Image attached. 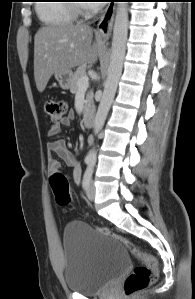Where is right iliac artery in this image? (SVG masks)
Masks as SVG:
<instances>
[{
    "label": "right iliac artery",
    "mask_w": 195,
    "mask_h": 299,
    "mask_svg": "<svg viewBox=\"0 0 195 299\" xmlns=\"http://www.w3.org/2000/svg\"><path fill=\"white\" fill-rule=\"evenodd\" d=\"M85 163H86V164H89V163H90V161H89V160H85Z\"/></svg>",
    "instance_id": "1"
}]
</instances>
